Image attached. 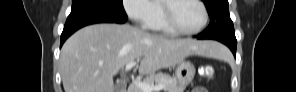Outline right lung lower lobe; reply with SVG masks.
Wrapping results in <instances>:
<instances>
[{"label":"right lung lower lobe","mask_w":296,"mask_h":92,"mask_svg":"<svg viewBox=\"0 0 296 92\" xmlns=\"http://www.w3.org/2000/svg\"><path fill=\"white\" fill-rule=\"evenodd\" d=\"M127 18L117 16L111 13L103 12L100 10H78L71 11L67 18L63 32L61 34V44L76 30L90 24L95 23H125Z\"/></svg>","instance_id":"1"}]
</instances>
